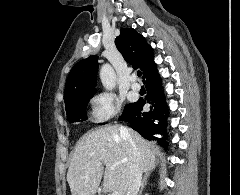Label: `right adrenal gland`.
<instances>
[{"label":"right adrenal gland","mask_w":240,"mask_h":195,"mask_svg":"<svg viewBox=\"0 0 240 195\" xmlns=\"http://www.w3.org/2000/svg\"><path fill=\"white\" fill-rule=\"evenodd\" d=\"M149 175H150V171H147V173H144L142 185H141V187L139 189L138 195H141L142 189H144V185H147V183H148L147 179H148Z\"/></svg>","instance_id":"2a0ac1e0"}]
</instances>
